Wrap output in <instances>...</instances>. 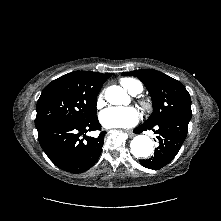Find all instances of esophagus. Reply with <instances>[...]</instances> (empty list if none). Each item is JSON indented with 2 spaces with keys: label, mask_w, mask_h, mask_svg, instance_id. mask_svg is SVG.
I'll use <instances>...</instances> for the list:
<instances>
[{
  "label": "esophagus",
  "mask_w": 221,
  "mask_h": 221,
  "mask_svg": "<svg viewBox=\"0 0 221 221\" xmlns=\"http://www.w3.org/2000/svg\"><path fill=\"white\" fill-rule=\"evenodd\" d=\"M127 133H128V135L130 136V137H133L134 136V133L132 132V131H126Z\"/></svg>",
  "instance_id": "obj_1"
}]
</instances>
